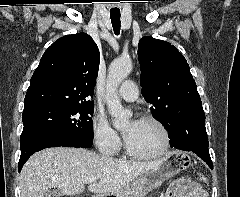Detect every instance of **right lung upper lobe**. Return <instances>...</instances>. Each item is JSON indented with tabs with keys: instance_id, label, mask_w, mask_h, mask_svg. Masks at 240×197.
Instances as JSON below:
<instances>
[{
	"instance_id": "obj_1",
	"label": "right lung upper lobe",
	"mask_w": 240,
	"mask_h": 197,
	"mask_svg": "<svg viewBox=\"0 0 240 197\" xmlns=\"http://www.w3.org/2000/svg\"><path fill=\"white\" fill-rule=\"evenodd\" d=\"M100 52L86 33L66 35L43 54L24 99V110L51 104L93 105Z\"/></svg>"
}]
</instances>
